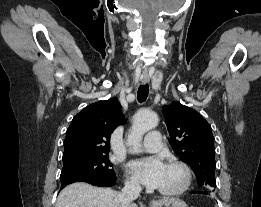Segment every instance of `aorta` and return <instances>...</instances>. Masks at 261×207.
Wrapping results in <instances>:
<instances>
[{
	"label": "aorta",
	"instance_id": "aorta-1",
	"mask_svg": "<svg viewBox=\"0 0 261 207\" xmlns=\"http://www.w3.org/2000/svg\"><path fill=\"white\" fill-rule=\"evenodd\" d=\"M158 116L154 112L138 111L133 117L132 128L128 135V144L139 146L143 135L158 125Z\"/></svg>",
	"mask_w": 261,
	"mask_h": 207
}]
</instances>
